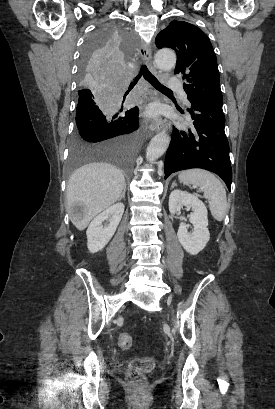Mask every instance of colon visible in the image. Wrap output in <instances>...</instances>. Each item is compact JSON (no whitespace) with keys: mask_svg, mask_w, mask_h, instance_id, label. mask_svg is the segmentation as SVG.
<instances>
[{"mask_svg":"<svg viewBox=\"0 0 275 409\" xmlns=\"http://www.w3.org/2000/svg\"><path fill=\"white\" fill-rule=\"evenodd\" d=\"M117 342L121 349H130L133 346V337L129 333H123ZM154 364V359L149 355L132 359L127 367L128 381L133 384H143L147 375L153 370Z\"/></svg>","mask_w":275,"mask_h":409,"instance_id":"1","label":"colon"}]
</instances>
